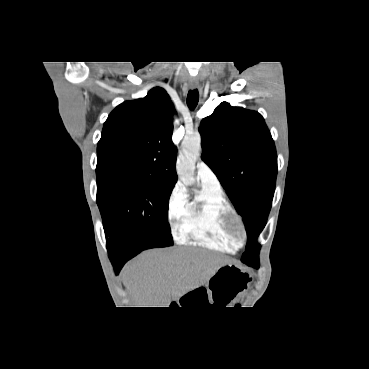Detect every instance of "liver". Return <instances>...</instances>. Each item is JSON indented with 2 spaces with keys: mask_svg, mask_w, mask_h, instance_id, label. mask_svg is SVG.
Segmentation results:
<instances>
[{
  "mask_svg": "<svg viewBox=\"0 0 369 369\" xmlns=\"http://www.w3.org/2000/svg\"><path fill=\"white\" fill-rule=\"evenodd\" d=\"M226 258L204 249H154L123 269L122 279L136 307H169L187 292L207 283Z\"/></svg>",
  "mask_w": 369,
  "mask_h": 369,
  "instance_id": "1",
  "label": "liver"
}]
</instances>
